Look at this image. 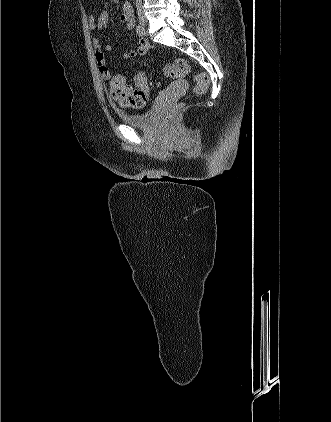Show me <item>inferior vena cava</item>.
<instances>
[{"label": "inferior vena cava", "instance_id": "1", "mask_svg": "<svg viewBox=\"0 0 331 422\" xmlns=\"http://www.w3.org/2000/svg\"><path fill=\"white\" fill-rule=\"evenodd\" d=\"M141 6H142V0H136L137 11L141 10Z\"/></svg>", "mask_w": 331, "mask_h": 422}]
</instances>
